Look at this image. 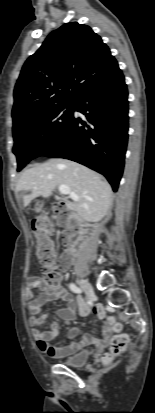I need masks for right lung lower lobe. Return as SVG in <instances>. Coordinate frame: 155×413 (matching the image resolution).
Listing matches in <instances>:
<instances>
[{
    "label": "right lung lower lobe",
    "mask_w": 155,
    "mask_h": 413,
    "mask_svg": "<svg viewBox=\"0 0 155 413\" xmlns=\"http://www.w3.org/2000/svg\"><path fill=\"white\" fill-rule=\"evenodd\" d=\"M127 97L124 76L117 67L78 96L65 129L41 155L81 163L103 174L117 191L128 139ZM74 111L83 116L76 117Z\"/></svg>",
    "instance_id": "right-lung-lower-lobe-1"
}]
</instances>
